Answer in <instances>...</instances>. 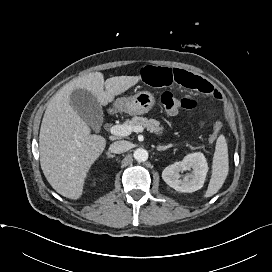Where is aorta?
I'll list each match as a JSON object with an SVG mask.
<instances>
[{
  "instance_id": "aorta-1",
  "label": "aorta",
  "mask_w": 272,
  "mask_h": 272,
  "mask_svg": "<svg viewBox=\"0 0 272 272\" xmlns=\"http://www.w3.org/2000/svg\"><path fill=\"white\" fill-rule=\"evenodd\" d=\"M134 159L138 162H144L148 159V151L143 148H138L133 153Z\"/></svg>"
}]
</instances>
